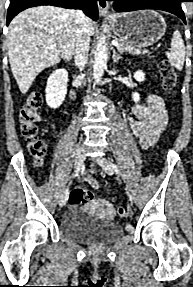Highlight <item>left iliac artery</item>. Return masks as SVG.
Instances as JSON below:
<instances>
[{"mask_svg": "<svg viewBox=\"0 0 193 287\" xmlns=\"http://www.w3.org/2000/svg\"><path fill=\"white\" fill-rule=\"evenodd\" d=\"M113 167H114L115 171H118L117 165L113 164Z\"/></svg>", "mask_w": 193, "mask_h": 287, "instance_id": "1", "label": "left iliac artery"}]
</instances>
